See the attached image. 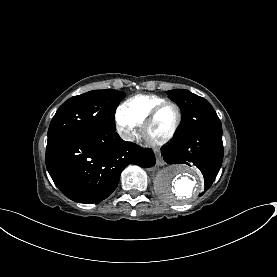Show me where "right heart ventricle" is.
Here are the masks:
<instances>
[{"instance_id": "obj_1", "label": "right heart ventricle", "mask_w": 277, "mask_h": 277, "mask_svg": "<svg viewBox=\"0 0 277 277\" xmlns=\"http://www.w3.org/2000/svg\"><path fill=\"white\" fill-rule=\"evenodd\" d=\"M168 101L165 98L150 95H136L128 99L119 109V116L129 118L136 124H142L150 112L160 103Z\"/></svg>"}]
</instances>
